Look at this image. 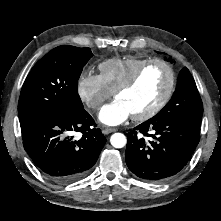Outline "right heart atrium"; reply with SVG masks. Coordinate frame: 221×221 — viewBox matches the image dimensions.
Instances as JSON below:
<instances>
[{
    "mask_svg": "<svg viewBox=\"0 0 221 221\" xmlns=\"http://www.w3.org/2000/svg\"><path fill=\"white\" fill-rule=\"evenodd\" d=\"M76 91L81 101L92 110L100 109L103 103L113 95L100 75L88 72L82 73L78 78Z\"/></svg>",
    "mask_w": 221,
    "mask_h": 221,
    "instance_id": "obj_1",
    "label": "right heart atrium"
}]
</instances>
